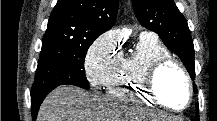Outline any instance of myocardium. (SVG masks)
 Wrapping results in <instances>:
<instances>
[{"label":"myocardium","instance_id":"f54148a6","mask_svg":"<svg viewBox=\"0 0 217 121\" xmlns=\"http://www.w3.org/2000/svg\"><path fill=\"white\" fill-rule=\"evenodd\" d=\"M173 66L177 68L182 76L185 79L186 85H187V91H188V98L185 103V105L181 108H176L171 105H169L159 94L157 90V77L159 73L164 70L165 68ZM144 87L145 92L149 96L151 100H153L156 104L172 111V112H182L186 110L193 100V84L192 80L190 78L189 73L187 72L186 68L176 59L172 57H163L157 61H155L150 67L148 68L145 77H144Z\"/></svg>","mask_w":217,"mask_h":121}]
</instances>
